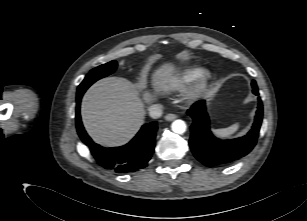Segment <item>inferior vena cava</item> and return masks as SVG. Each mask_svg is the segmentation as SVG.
Masks as SVG:
<instances>
[{
  "mask_svg": "<svg viewBox=\"0 0 307 221\" xmlns=\"http://www.w3.org/2000/svg\"><path fill=\"white\" fill-rule=\"evenodd\" d=\"M149 115L154 118H160L162 116L163 106L161 104H153L148 108Z\"/></svg>",
  "mask_w": 307,
  "mask_h": 221,
  "instance_id": "1",
  "label": "inferior vena cava"
}]
</instances>
